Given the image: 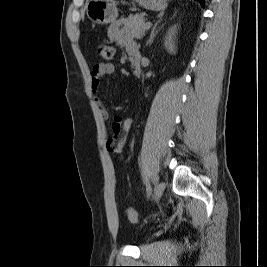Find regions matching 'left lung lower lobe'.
I'll list each match as a JSON object with an SVG mask.
<instances>
[{"label":"left lung lower lobe","mask_w":267,"mask_h":267,"mask_svg":"<svg viewBox=\"0 0 267 267\" xmlns=\"http://www.w3.org/2000/svg\"><path fill=\"white\" fill-rule=\"evenodd\" d=\"M198 2H200L201 5H204V0H196Z\"/></svg>","instance_id":"1"}]
</instances>
